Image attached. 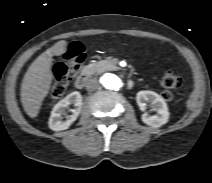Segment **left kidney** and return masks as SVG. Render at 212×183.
<instances>
[{"mask_svg": "<svg viewBox=\"0 0 212 183\" xmlns=\"http://www.w3.org/2000/svg\"><path fill=\"white\" fill-rule=\"evenodd\" d=\"M137 104L141 110H145L146 102H150L153 109L157 112L155 115L143 113L142 121L154 128L160 127L168 122L169 111L165 100L153 91H140L136 96Z\"/></svg>", "mask_w": 212, "mask_h": 183, "instance_id": "1", "label": "left kidney"}]
</instances>
